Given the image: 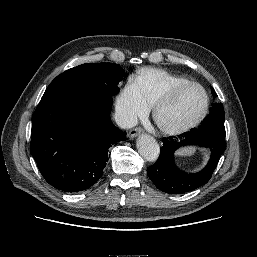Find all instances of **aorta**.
<instances>
[{"mask_svg":"<svg viewBox=\"0 0 257 257\" xmlns=\"http://www.w3.org/2000/svg\"><path fill=\"white\" fill-rule=\"evenodd\" d=\"M137 149L139 154L149 162H154L159 157L160 148L157 141L150 135L142 134L137 139Z\"/></svg>","mask_w":257,"mask_h":257,"instance_id":"aorta-1","label":"aorta"}]
</instances>
